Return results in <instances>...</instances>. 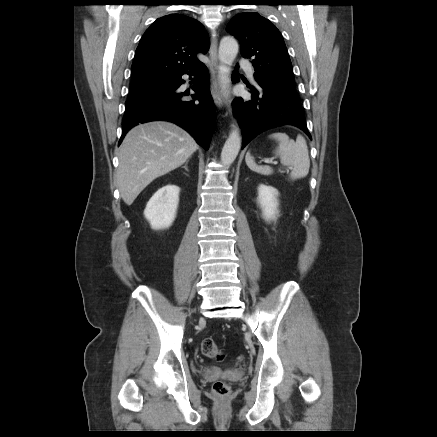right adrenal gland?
I'll return each mask as SVG.
<instances>
[{
    "instance_id": "right-adrenal-gland-1",
    "label": "right adrenal gland",
    "mask_w": 437,
    "mask_h": 437,
    "mask_svg": "<svg viewBox=\"0 0 437 437\" xmlns=\"http://www.w3.org/2000/svg\"><path fill=\"white\" fill-rule=\"evenodd\" d=\"M187 165H188V161L185 163V165L183 166V168H184L186 171H189Z\"/></svg>"
}]
</instances>
